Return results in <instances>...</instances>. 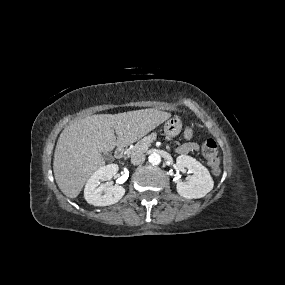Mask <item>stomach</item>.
I'll return each instance as SVG.
<instances>
[{"label":"stomach","instance_id":"0dacf381","mask_svg":"<svg viewBox=\"0 0 285 285\" xmlns=\"http://www.w3.org/2000/svg\"><path fill=\"white\" fill-rule=\"evenodd\" d=\"M181 128L182 123L178 117H172L164 124V132L170 137L177 136Z\"/></svg>","mask_w":285,"mask_h":285}]
</instances>
